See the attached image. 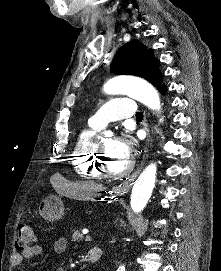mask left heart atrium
Wrapping results in <instances>:
<instances>
[{"instance_id":"39dd6f15","label":"left heart atrium","mask_w":221,"mask_h":271,"mask_svg":"<svg viewBox=\"0 0 221 271\" xmlns=\"http://www.w3.org/2000/svg\"><path fill=\"white\" fill-rule=\"evenodd\" d=\"M130 148H111L109 157H129Z\"/></svg>"}]
</instances>
